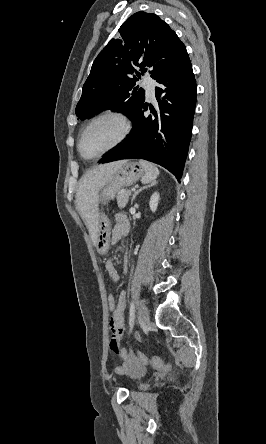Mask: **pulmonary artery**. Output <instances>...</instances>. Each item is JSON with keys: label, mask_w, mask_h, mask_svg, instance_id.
Segmentation results:
<instances>
[{"label": "pulmonary artery", "mask_w": 266, "mask_h": 444, "mask_svg": "<svg viewBox=\"0 0 266 444\" xmlns=\"http://www.w3.org/2000/svg\"><path fill=\"white\" fill-rule=\"evenodd\" d=\"M142 86L146 89V95L153 98L155 95L156 82L152 78L146 76L142 81Z\"/></svg>", "instance_id": "obj_1"}]
</instances>
